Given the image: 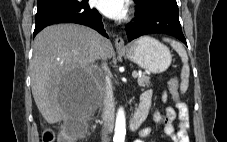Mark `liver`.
I'll use <instances>...</instances> for the list:
<instances>
[{"label": "liver", "instance_id": "6515ba94", "mask_svg": "<svg viewBox=\"0 0 227 142\" xmlns=\"http://www.w3.org/2000/svg\"><path fill=\"white\" fill-rule=\"evenodd\" d=\"M97 33L75 24L48 26L37 34L30 63L31 88L35 103L50 124L74 114L71 96L79 93L86 80L95 82L92 66L96 57L93 41ZM107 58L114 55L111 42L102 37Z\"/></svg>", "mask_w": 227, "mask_h": 142}]
</instances>
